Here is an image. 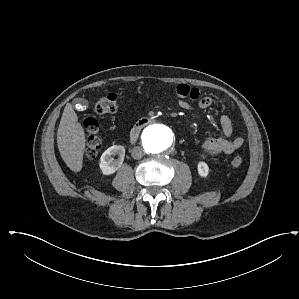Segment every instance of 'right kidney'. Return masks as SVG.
Here are the masks:
<instances>
[{"instance_id": "ca27d5eb", "label": "right kidney", "mask_w": 299, "mask_h": 299, "mask_svg": "<svg viewBox=\"0 0 299 299\" xmlns=\"http://www.w3.org/2000/svg\"><path fill=\"white\" fill-rule=\"evenodd\" d=\"M118 155L119 158L114 160L113 157ZM125 157V148L121 145L109 147L100 158V169L104 175L115 173L122 165Z\"/></svg>"}]
</instances>
